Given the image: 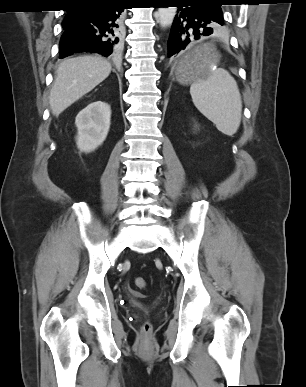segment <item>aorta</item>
<instances>
[{
	"instance_id": "aorta-1",
	"label": "aorta",
	"mask_w": 306,
	"mask_h": 387,
	"mask_svg": "<svg viewBox=\"0 0 306 387\" xmlns=\"http://www.w3.org/2000/svg\"><path fill=\"white\" fill-rule=\"evenodd\" d=\"M176 11V7H159L158 20L162 28L169 27L173 23Z\"/></svg>"
}]
</instances>
